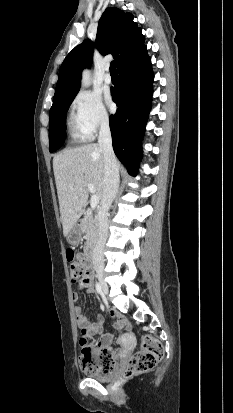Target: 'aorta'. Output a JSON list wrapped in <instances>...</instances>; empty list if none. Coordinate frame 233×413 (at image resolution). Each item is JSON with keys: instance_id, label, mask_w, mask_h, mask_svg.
<instances>
[{"instance_id": "762f6f07", "label": "aorta", "mask_w": 233, "mask_h": 413, "mask_svg": "<svg viewBox=\"0 0 233 413\" xmlns=\"http://www.w3.org/2000/svg\"><path fill=\"white\" fill-rule=\"evenodd\" d=\"M81 84L83 87H89L91 84V73L89 70H84L82 73Z\"/></svg>"}]
</instances>
